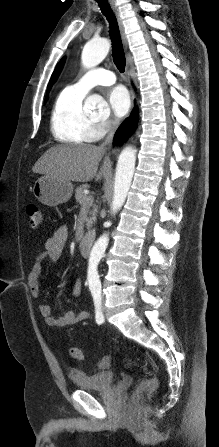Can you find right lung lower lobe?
Instances as JSON below:
<instances>
[{
    "instance_id": "obj_1",
    "label": "right lung lower lobe",
    "mask_w": 219,
    "mask_h": 447,
    "mask_svg": "<svg viewBox=\"0 0 219 447\" xmlns=\"http://www.w3.org/2000/svg\"><path fill=\"white\" fill-rule=\"evenodd\" d=\"M138 114V108L136 107L132 111L130 117L126 119L117 129L114 142L122 141L134 132L138 123Z\"/></svg>"
}]
</instances>
